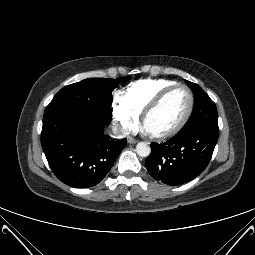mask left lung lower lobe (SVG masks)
<instances>
[{
	"label": "left lung lower lobe",
	"instance_id": "obj_1",
	"mask_svg": "<svg viewBox=\"0 0 255 255\" xmlns=\"http://www.w3.org/2000/svg\"><path fill=\"white\" fill-rule=\"evenodd\" d=\"M219 130L178 132L165 143L151 144L145 165L150 175L168 185L191 181L204 171L213 154Z\"/></svg>",
	"mask_w": 255,
	"mask_h": 255
}]
</instances>
